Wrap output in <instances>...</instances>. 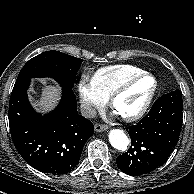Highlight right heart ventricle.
Here are the masks:
<instances>
[{"mask_svg":"<svg viewBox=\"0 0 194 194\" xmlns=\"http://www.w3.org/2000/svg\"><path fill=\"white\" fill-rule=\"evenodd\" d=\"M143 71L133 65L106 66L94 72L91 80L98 93L107 100L123 81Z\"/></svg>","mask_w":194,"mask_h":194,"instance_id":"1","label":"right heart ventricle"}]
</instances>
